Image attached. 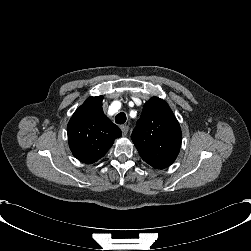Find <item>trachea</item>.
Wrapping results in <instances>:
<instances>
[{
    "instance_id": "1",
    "label": "trachea",
    "mask_w": 251,
    "mask_h": 251,
    "mask_svg": "<svg viewBox=\"0 0 251 251\" xmlns=\"http://www.w3.org/2000/svg\"><path fill=\"white\" fill-rule=\"evenodd\" d=\"M126 119H127L126 114L121 112V113L116 115L115 122L117 124H124L126 122Z\"/></svg>"
}]
</instances>
